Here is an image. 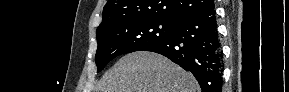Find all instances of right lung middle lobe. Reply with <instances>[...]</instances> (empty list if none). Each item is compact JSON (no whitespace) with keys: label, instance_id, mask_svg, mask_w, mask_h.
<instances>
[{"label":"right lung middle lobe","instance_id":"dd1d6c3e","mask_svg":"<svg viewBox=\"0 0 289 92\" xmlns=\"http://www.w3.org/2000/svg\"><path fill=\"white\" fill-rule=\"evenodd\" d=\"M176 22L159 18L121 21L97 31L98 48L95 62L100 72L113 58L167 40Z\"/></svg>","mask_w":289,"mask_h":92}]
</instances>
